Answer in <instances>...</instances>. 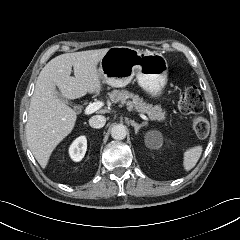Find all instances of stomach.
I'll return each mask as SVG.
<instances>
[{
  "label": "stomach",
  "mask_w": 240,
  "mask_h": 240,
  "mask_svg": "<svg viewBox=\"0 0 240 240\" xmlns=\"http://www.w3.org/2000/svg\"><path fill=\"white\" fill-rule=\"evenodd\" d=\"M100 78L112 87H125L136 76L139 86L152 97H158L166 83L168 63L157 52L114 46L101 58Z\"/></svg>",
  "instance_id": "stomach-1"
}]
</instances>
